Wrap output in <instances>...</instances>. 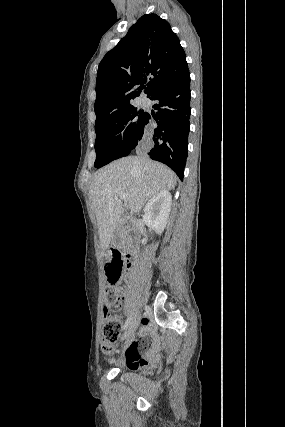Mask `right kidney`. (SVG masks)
<instances>
[{
	"label": "right kidney",
	"instance_id": "ca27d5eb",
	"mask_svg": "<svg viewBox=\"0 0 285 427\" xmlns=\"http://www.w3.org/2000/svg\"><path fill=\"white\" fill-rule=\"evenodd\" d=\"M171 202V194L168 191H162L153 196L144 208L143 220L157 234H161L166 227L171 210ZM146 242V239L142 240V244H146Z\"/></svg>",
	"mask_w": 285,
	"mask_h": 427
}]
</instances>
